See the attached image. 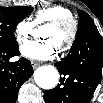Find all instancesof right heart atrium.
Here are the masks:
<instances>
[{
    "label": "right heart atrium",
    "mask_w": 103,
    "mask_h": 103,
    "mask_svg": "<svg viewBox=\"0 0 103 103\" xmlns=\"http://www.w3.org/2000/svg\"><path fill=\"white\" fill-rule=\"evenodd\" d=\"M33 30V23L28 20L19 21L14 28V37L15 40L22 44L25 42L31 35Z\"/></svg>",
    "instance_id": "obj_1"
}]
</instances>
